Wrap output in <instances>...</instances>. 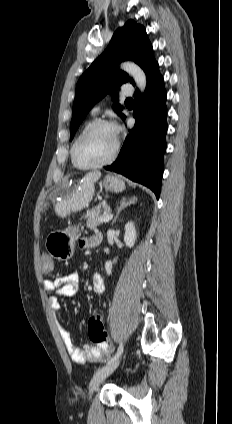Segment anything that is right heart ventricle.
Here are the masks:
<instances>
[{"label": "right heart ventricle", "mask_w": 232, "mask_h": 424, "mask_svg": "<svg viewBox=\"0 0 232 424\" xmlns=\"http://www.w3.org/2000/svg\"><path fill=\"white\" fill-rule=\"evenodd\" d=\"M94 121V118L93 117H91V118H89L85 123H84V125L81 127V129H80V131H79V133H78V135H77V137H76V139H75V141L77 140V138L80 136V134L92 123ZM75 141H74V143H75ZM74 143H73V145H74ZM73 147V146H72ZM71 153H72V151H71ZM71 158H72V155H71ZM72 163H73V165H74V162H73V160H72ZM75 166V165H74ZM76 167V166H75Z\"/></svg>", "instance_id": "1"}]
</instances>
